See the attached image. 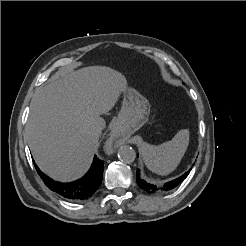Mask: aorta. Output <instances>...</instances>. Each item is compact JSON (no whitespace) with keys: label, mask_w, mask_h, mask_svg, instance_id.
<instances>
[{"label":"aorta","mask_w":246,"mask_h":246,"mask_svg":"<svg viewBox=\"0 0 246 246\" xmlns=\"http://www.w3.org/2000/svg\"><path fill=\"white\" fill-rule=\"evenodd\" d=\"M118 158L120 161L130 164L136 158L135 150L128 145L121 146L118 150Z\"/></svg>","instance_id":"obj_1"}]
</instances>
